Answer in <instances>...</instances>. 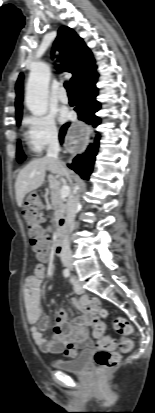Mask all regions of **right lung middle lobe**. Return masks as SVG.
<instances>
[{
	"label": "right lung middle lobe",
	"mask_w": 155,
	"mask_h": 413,
	"mask_svg": "<svg viewBox=\"0 0 155 413\" xmlns=\"http://www.w3.org/2000/svg\"><path fill=\"white\" fill-rule=\"evenodd\" d=\"M20 123H21V119L17 120V125H18V126L20 125ZM25 158H26V156L24 155V153H23V151H22V149H21V144H20V142H18V146H17V160H18V162L21 163L22 161L25 160Z\"/></svg>",
	"instance_id": "right-lung-middle-lobe-1"
}]
</instances>
